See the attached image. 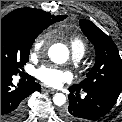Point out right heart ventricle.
Wrapping results in <instances>:
<instances>
[{"label": "right heart ventricle", "instance_id": "e07e8e85", "mask_svg": "<svg viewBox=\"0 0 122 122\" xmlns=\"http://www.w3.org/2000/svg\"><path fill=\"white\" fill-rule=\"evenodd\" d=\"M71 47H72V51L81 52L83 55L86 51V45L84 41L77 37L71 40Z\"/></svg>", "mask_w": 122, "mask_h": 122}]
</instances>
